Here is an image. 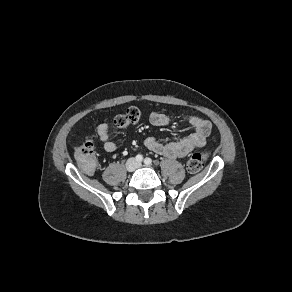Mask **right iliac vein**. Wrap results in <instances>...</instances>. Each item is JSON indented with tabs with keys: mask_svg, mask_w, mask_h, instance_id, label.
<instances>
[{
	"mask_svg": "<svg viewBox=\"0 0 292 292\" xmlns=\"http://www.w3.org/2000/svg\"><path fill=\"white\" fill-rule=\"evenodd\" d=\"M127 167H128L129 170H131L133 168V163L132 162L128 163Z\"/></svg>",
	"mask_w": 292,
	"mask_h": 292,
	"instance_id": "63e3f726",
	"label": "right iliac vein"
}]
</instances>
